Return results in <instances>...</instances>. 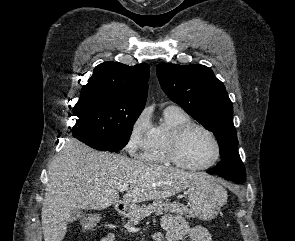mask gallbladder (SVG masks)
I'll return each mask as SVG.
<instances>
[{
	"label": "gallbladder",
	"mask_w": 295,
	"mask_h": 241,
	"mask_svg": "<svg viewBox=\"0 0 295 241\" xmlns=\"http://www.w3.org/2000/svg\"><path fill=\"white\" fill-rule=\"evenodd\" d=\"M81 212L79 210L73 211L72 216L69 218V222H74L79 216Z\"/></svg>",
	"instance_id": "gallbladder-1"
}]
</instances>
